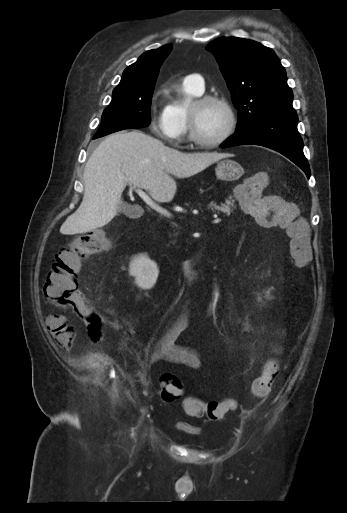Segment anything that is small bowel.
I'll list each match as a JSON object with an SVG mask.
<instances>
[{
	"label": "small bowel",
	"mask_w": 347,
	"mask_h": 513,
	"mask_svg": "<svg viewBox=\"0 0 347 513\" xmlns=\"http://www.w3.org/2000/svg\"><path fill=\"white\" fill-rule=\"evenodd\" d=\"M189 319L190 310L186 309L170 324L162 339L150 351H146V356L150 362L165 360L191 369L201 367V359L193 349L176 343L178 336L186 328ZM46 325L58 347L61 350L70 351L75 338L74 327L59 315L48 316Z\"/></svg>",
	"instance_id": "c3829d8e"
}]
</instances>
